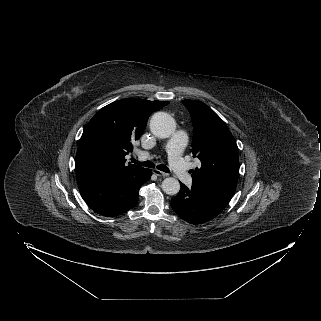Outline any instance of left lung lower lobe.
I'll return each instance as SVG.
<instances>
[{
  "label": "left lung lower lobe",
  "mask_w": 321,
  "mask_h": 321,
  "mask_svg": "<svg viewBox=\"0 0 321 321\" xmlns=\"http://www.w3.org/2000/svg\"><path fill=\"white\" fill-rule=\"evenodd\" d=\"M181 184L179 193L171 199L172 209L191 224L205 223L219 215L230 202L237 183L192 181V187Z\"/></svg>",
  "instance_id": "1"
}]
</instances>
